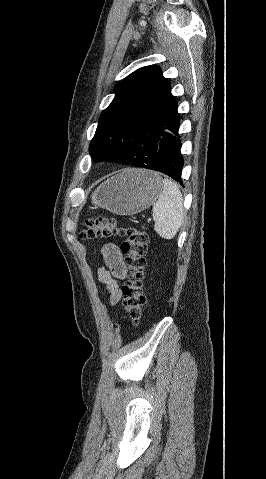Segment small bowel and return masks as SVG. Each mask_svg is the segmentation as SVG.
I'll return each instance as SVG.
<instances>
[{"mask_svg":"<svg viewBox=\"0 0 266 479\" xmlns=\"http://www.w3.org/2000/svg\"><path fill=\"white\" fill-rule=\"evenodd\" d=\"M102 254L107 268L97 270L98 279L109 294L110 304L115 305L121 299L119 281L127 276V268L118 247L112 243L102 248Z\"/></svg>","mask_w":266,"mask_h":479,"instance_id":"1","label":"small bowel"}]
</instances>
